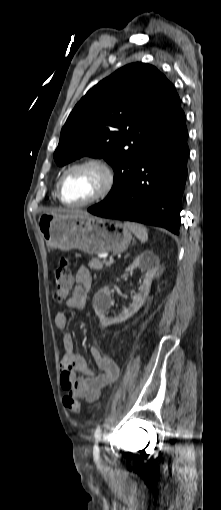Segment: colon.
Masks as SVG:
<instances>
[{"instance_id": "5ec220e1", "label": "colon", "mask_w": 221, "mask_h": 510, "mask_svg": "<svg viewBox=\"0 0 221 510\" xmlns=\"http://www.w3.org/2000/svg\"><path fill=\"white\" fill-rule=\"evenodd\" d=\"M54 284L55 294L54 299L57 302L65 301L72 293L73 289V276L70 268V263L67 259H61L54 269ZM64 405L75 414L81 412V402L67 395L63 399Z\"/></svg>"}]
</instances>
